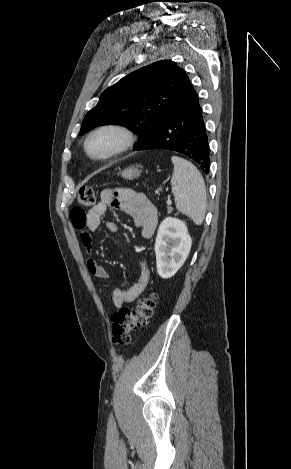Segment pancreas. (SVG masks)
<instances>
[{
    "label": "pancreas",
    "instance_id": "1",
    "mask_svg": "<svg viewBox=\"0 0 291 469\" xmlns=\"http://www.w3.org/2000/svg\"><path fill=\"white\" fill-rule=\"evenodd\" d=\"M168 212H171L172 211V207L168 206Z\"/></svg>",
    "mask_w": 291,
    "mask_h": 469
}]
</instances>
